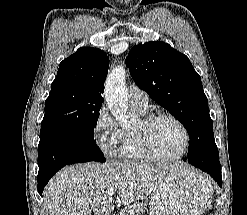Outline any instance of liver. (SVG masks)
<instances>
[{
	"mask_svg": "<svg viewBox=\"0 0 247 215\" xmlns=\"http://www.w3.org/2000/svg\"><path fill=\"white\" fill-rule=\"evenodd\" d=\"M179 163H87L66 166L44 191L50 215H109L115 208L107 191L114 189L117 199L130 205L150 195Z\"/></svg>",
	"mask_w": 247,
	"mask_h": 215,
	"instance_id": "6515ba94",
	"label": "liver"
}]
</instances>
